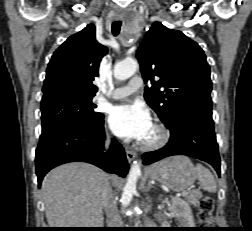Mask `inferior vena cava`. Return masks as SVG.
I'll return each instance as SVG.
<instances>
[{
  "mask_svg": "<svg viewBox=\"0 0 252 231\" xmlns=\"http://www.w3.org/2000/svg\"><path fill=\"white\" fill-rule=\"evenodd\" d=\"M109 144V139L106 141V146ZM102 204L107 215V223L110 228H119L122 224L121 218L117 211L116 198L108 186L102 195Z\"/></svg>",
  "mask_w": 252,
  "mask_h": 231,
  "instance_id": "obj_1",
  "label": "inferior vena cava"
}]
</instances>
